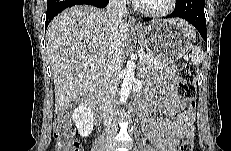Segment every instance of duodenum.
<instances>
[{"instance_id": "1", "label": "duodenum", "mask_w": 231, "mask_h": 151, "mask_svg": "<svg viewBox=\"0 0 231 151\" xmlns=\"http://www.w3.org/2000/svg\"><path fill=\"white\" fill-rule=\"evenodd\" d=\"M82 104L86 105V106H89L91 108L92 113H93L96 120H101L102 119L103 113L99 108H97L95 106L94 101H93V95L90 98L83 101Z\"/></svg>"}]
</instances>
